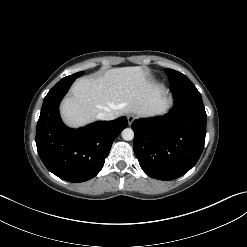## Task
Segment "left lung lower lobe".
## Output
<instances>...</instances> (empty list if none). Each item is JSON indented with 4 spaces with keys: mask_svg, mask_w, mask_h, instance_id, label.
Returning a JSON list of instances; mask_svg holds the SVG:
<instances>
[{
    "mask_svg": "<svg viewBox=\"0 0 247 247\" xmlns=\"http://www.w3.org/2000/svg\"><path fill=\"white\" fill-rule=\"evenodd\" d=\"M175 107L165 116L132 123L134 153L152 178L173 180L198 161L205 142L207 115L195 86L170 87Z\"/></svg>",
    "mask_w": 247,
    "mask_h": 247,
    "instance_id": "left-lung-lower-lobe-1",
    "label": "left lung lower lobe"
}]
</instances>
